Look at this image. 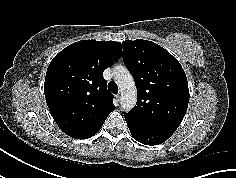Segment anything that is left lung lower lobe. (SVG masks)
<instances>
[{"label": "left lung lower lobe", "instance_id": "1", "mask_svg": "<svg viewBox=\"0 0 236 178\" xmlns=\"http://www.w3.org/2000/svg\"><path fill=\"white\" fill-rule=\"evenodd\" d=\"M127 125L132 136L140 143L145 145H158L166 141L173 133L168 131L156 130L132 122L126 119Z\"/></svg>", "mask_w": 236, "mask_h": 178}]
</instances>
